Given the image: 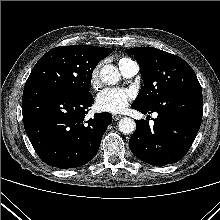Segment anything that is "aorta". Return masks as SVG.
I'll return each instance as SVG.
<instances>
[{"mask_svg": "<svg viewBox=\"0 0 220 220\" xmlns=\"http://www.w3.org/2000/svg\"><path fill=\"white\" fill-rule=\"evenodd\" d=\"M119 70L113 65H105L100 70V79L103 83L112 85L120 80ZM136 124L131 118H122L118 122V129L123 134H132L135 131Z\"/></svg>", "mask_w": 220, "mask_h": 220, "instance_id": "1", "label": "aorta"}]
</instances>
